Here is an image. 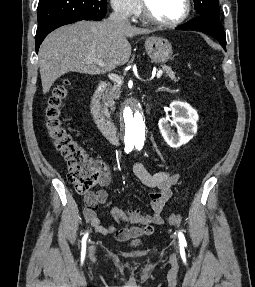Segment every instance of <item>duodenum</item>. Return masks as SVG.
Returning <instances> with one entry per match:
<instances>
[{
	"mask_svg": "<svg viewBox=\"0 0 255 287\" xmlns=\"http://www.w3.org/2000/svg\"><path fill=\"white\" fill-rule=\"evenodd\" d=\"M105 91V84L100 83L93 92L89 104L88 112L93 122L99 127L104 135L113 143L117 142L116 127L100 108V99Z\"/></svg>",
	"mask_w": 255,
	"mask_h": 287,
	"instance_id": "410a0bca",
	"label": "duodenum"
}]
</instances>
